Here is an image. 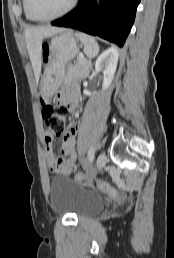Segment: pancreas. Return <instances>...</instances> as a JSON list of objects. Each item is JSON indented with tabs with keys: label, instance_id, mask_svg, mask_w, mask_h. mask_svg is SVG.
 I'll use <instances>...</instances> for the list:
<instances>
[{
	"label": "pancreas",
	"instance_id": "obj_1",
	"mask_svg": "<svg viewBox=\"0 0 174 258\" xmlns=\"http://www.w3.org/2000/svg\"><path fill=\"white\" fill-rule=\"evenodd\" d=\"M91 69V63L85 58H77L72 65L68 67V76L80 78L86 76Z\"/></svg>",
	"mask_w": 174,
	"mask_h": 258
}]
</instances>
